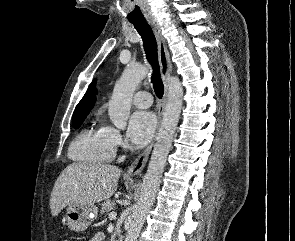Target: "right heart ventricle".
<instances>
[{
    "instance_id": "right-heart-ventricle-1",
    "label": "right heart ventricle",
    "mask_w": 295,
    "mask_h": 241,
    "mask_svg": "<svg viewBox=\"0 0 295 241\" xmlns=\"http://www.w3.org/2000/svg\"><path fill=\"white\" fill-rule=\"evenodd\" d=\"M115 155L107 126L87 127L73 140L69 148L72 160L86 164L109 162Z\"/></svg>"
}]
</instances>
